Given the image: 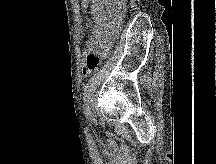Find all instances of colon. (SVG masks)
<instances>
[{"instance_id": "obj_1", "label": "colon", "mask_w": 216, "mask_h": 164, "mask_svg": "<svg viewBox=\"0 0 216 164\" xmlns=\"http://www.w3.org/2000/svg\"><path fill=\"white\" fill-rule=\"evenodd\" d=\"M100 63V56L94 52L87 54L83 61V72L88 75L96 71Z\"/></svg>"}]
</instances>
